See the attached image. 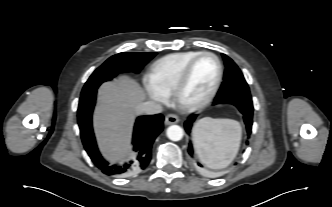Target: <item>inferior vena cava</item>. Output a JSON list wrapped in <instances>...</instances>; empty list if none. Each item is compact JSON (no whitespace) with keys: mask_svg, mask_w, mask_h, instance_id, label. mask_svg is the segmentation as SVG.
Instances as JSON below:
<instances>
[{"mask_svg":"<svg viewBox=\"0 0 332 207\" xmlns=\"http://www.w3.org/2000/svg\"><path fill=\"white\" fill-rule=\"evenodd\" d=\"M138 114L153 115L162 112V106L154 101H147L136 107Z\"/></svg>","mask_w":332,"mask_h":207,"instance_id":"1","label":"inferior vena cava"}]
</instances>
